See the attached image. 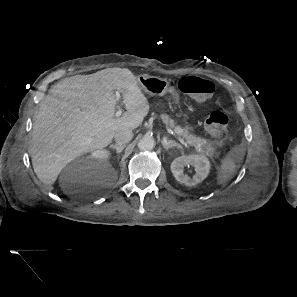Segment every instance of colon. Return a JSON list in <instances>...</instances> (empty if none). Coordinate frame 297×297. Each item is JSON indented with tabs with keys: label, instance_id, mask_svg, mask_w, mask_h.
Segmentation results:
<instances>
[{
	"label": "colon",
	"instance_id": "1",
	"mask_svg": "<svg viewBox=\"0 0 297 297\" xmlns=\"http://www.w3.org/2000/svg\"><path fill=\"white\" fill-rule=\"evenodd\" d=\"M179 89L199 100H206L213 95L215 87L209 80L187 76L179 81ZM227 125L228 117L221 111L211 112L206 120L207 130L216 138H223L226 135Z\"/></svg>",
	"mask_w": 297,
	"mask_h": 297
}]
</instances>
